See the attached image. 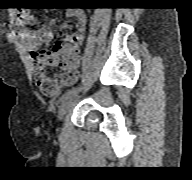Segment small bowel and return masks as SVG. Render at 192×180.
Returning a JSON list of instances; mask_svg holds the SVG:
<instances>
[{
    "mask_svg": "<svg viewBox=\"0 0 192 180\" xmlns=\"http://www.w3.org/2000/svg\"><path fill=\"white\" fill-rule=\"evenodd\" d=\"M67 15L75 20L74 32L64 35L54 44L51 51H40L41 45H50L53 41L52 31L48 27L36 31L28 30L24 25H36L35 15L28 9H20L17 12L21 24L18 34L35 60L36 82L41 91L48 96H58L65 88L75 84L79 76L78 69L81 63L79 48L86 32L87 16L82 9H69ZM50 66L60 68L54 77L47 74V67Z\"/></svg>",
    "mask_w": 192,
    "mask_h": 180,
    "instance_id": "small-bowel-1",
    "label": "small bowel"
}]
</instances>
